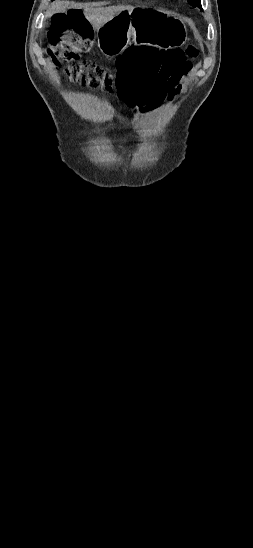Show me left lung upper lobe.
<instances>
[{
  "label": "left lung upper lobe",
  "instance_id": "1",
  "mask_svg": "<svg viewBox=\"0 0 253 548\" xmlns=\"http://www.w3.org/2000/svg\"><path fill=\"white\" fill-rule=\"evenodd\" d=\"M187 1L193 7H200L201 8V1L200 0H187Z\"/></svg>",
  "mask_w": 253,
  "mask_h": 548
}]
</instances>
